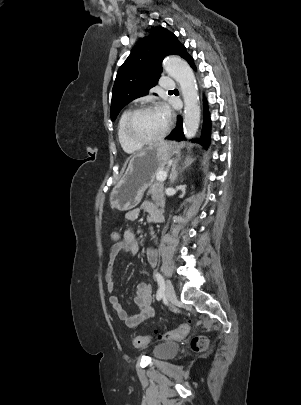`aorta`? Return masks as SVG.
I'll list each match as a JSON object with an SVG mask.
<instances>
[{"label": "aorta", "instance_id": "obj_1", "mask_svg": "<svg viewBox=\"0 0 301 405\" xmlns=\"http://www.w3.org/2000/svg\"><path fill=\"white\" fill-rule=\"evenodd\" d=\"M164 69L180 85L185 103L184 134L188 139L193 138L199 127L201 114L195 75L188 63L177 56L168 57L164 61Z\"/></svg>", "mask_w": 301, "mask_h": 405}]
</instances>
